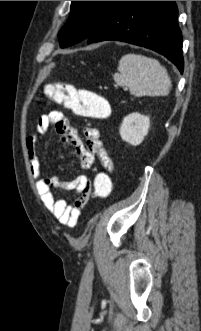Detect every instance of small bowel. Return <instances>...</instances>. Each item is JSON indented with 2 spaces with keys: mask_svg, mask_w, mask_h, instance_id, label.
Masks as SVG:
<instances>
[{
  "mask_svg": "<svg viewBox=\"0 0 201 331\" xmlns=\"http://www.w3.org/2000/svg\"><path fill=\"white\" fill-rule=\"evenodd\" d=\"M50 126L56 128L60 139L71 146L79 156L81 169H89L98 159L103 171L109 175L113 171V163L103 147L99 130L92 126L83 128L84 140L78 130L72 127L65 115L58 110H53L42 115L36 124L37 134L45 133ZM37 134L28 136L26 145L28 149L29 165L35 180L36 188L45 208L58 220L60 224L74 227L80 218L83 207L87 204L91 183L86 175H78L74 179L66 181L56 176H44L41 172V159L36 148ZM53 189L76 190L78 198L69 205L63 199L55 198Z\"/></svg>",
  "mask_w": 201,
  "mask_h": 331,
  "instance_id": "small-bowel-1",
  "label": "small bowel"
}]
</instances>
